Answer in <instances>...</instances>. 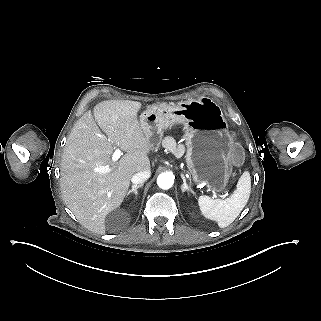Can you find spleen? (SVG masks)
<instances>
[{
	"label": "spleen",
	"mask_w": 321,
	"mask_h": 321,
	"mask_svg": "<svg viewBox=\"0 0 321 321\" xmlns=\"http://www.w3.org/2000/svg\"><path fill=\"white\" fill-rule=\"evenodd\" d=\"M250 192V173L245 171L238 180L236 190L229 198L222 200L200 196L198 203L201 213L204 217L216 221L220 228H225L234 222L246 206Z\"/></svg>",
	"instance_id": "1"
}]
</instances>
